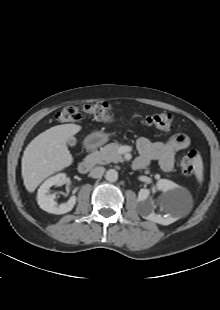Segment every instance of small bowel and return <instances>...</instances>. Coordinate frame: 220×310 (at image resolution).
Masks as SVG:
<instances>
[{
	"instance_id": "c3829d8e",
	"label": "small bowel",
	"mask_w": 220,
	"mask_h": 310,
	"mask_svg": "<svg viewBox=\"0 0 220 310\" xmlns=\"http://www.w3.org/2000/svg\"><path fill=\"white\" fill-rule=\"evenodd\" d=\"M190 138L186 134H176L166 142H152L141 137L137 141L139 157L135 160V168H143L151 161L158 160L162 170L169 172L173 169L175 154L188 148Z\"/></svg>"
}]
</instances>
